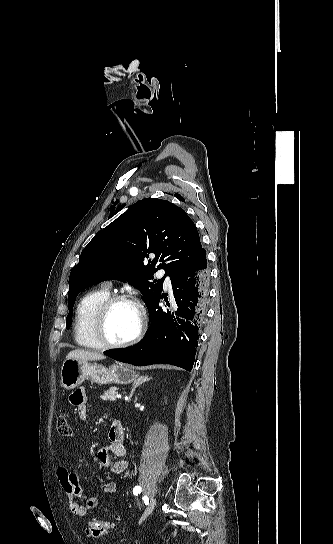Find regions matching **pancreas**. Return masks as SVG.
Masks as SVG:
<instances>
[{
    "label": "pancreas",
    "mask_w": 333,
    "mask_h": 544,
    "mask_svg": "<svg viewBox=\"0 0 333 544\" xmlns=\"http://www.w3.org/2000/svg\"><path fill=\"white\" fill-rule=\"evenodd\" d=\"M116 394H118L117 389L116 388H110V389L106 390L103 393L101 398H102V400H105V401L114 402V401H116Z\"/></svg>",
    "instance_id": "obj_1"
}]
</instances>
